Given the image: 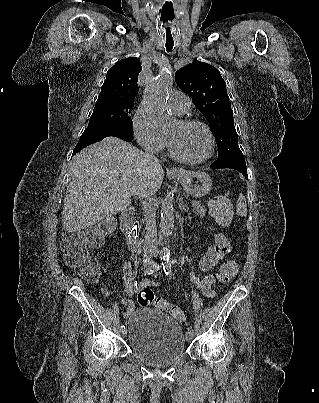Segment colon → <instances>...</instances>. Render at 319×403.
Masks as SVG:
<instances>
[{"label":"colon","mask_w":319,"mask_h":403,"mask_svg":"<svg viewBox=\"0 0 319 403\" xmlns=\"http://www.w3.org/2000/svg\"><path fill=\"white\" fill-rule=\"evenodd\" d=\"M212 216L221 225H228L232 220V213L229 200L226 196L220 195L213 198L209 203ZM114 223L106 220L102 224L84 230L66 233L61 241V250L65 263L74 268L76 273L87 281L94 282L99 277V264L97 260L88 254L89 246L98 247L103 238L112 233ZM237 273V265L234 262L225 263L220 271L222 282L231 281ZM141 307L154 304L160 311L167 312L180 324L187 325L186 315L181 307L167 300L156 298L153 291L143 288L137 295Z\"/></svg>","instance_id":"obj_1"}]
</instances>
